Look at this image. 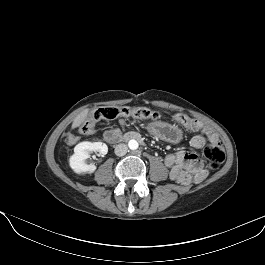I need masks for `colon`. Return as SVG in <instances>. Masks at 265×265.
Here are the masks:
<instances>
[{
  "instance_id": "5ec220e1",
  "label": "colon",
  "mask_w": 265,
  "mask_h": 265,
  "mask_svg": "<svg viewBox=\"0 0 265 265\" xmlns=\"http://www.w3.org/2000/svg\"><path fill=\"white\" fill-rule=\"evenodd\" d=\"M119 116H126L136 119H149L158 121L161 115L151 109L142 107H117V106H104L95 109L85 119L80 127L83 134H93L96 131L98 122L114 120ZM172 119L182 124L185 127H193L194 121L185 114H176ZM203 155L212 170L218 169L225 160V151L222 143L219 140L210 142L204 149Z\"/></svg>"
}]
</instances>
